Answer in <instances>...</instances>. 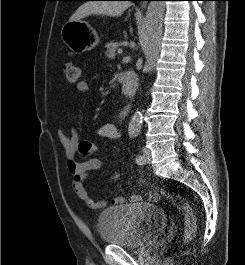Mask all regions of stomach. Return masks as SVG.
<instances>
[{
    "label": "stomach",
    "mask_w": 245,
    "mask_h": 265,
    "mask_svg": "<svg viewBox=\"0 0 245 265\" xmlns=\"http://www.w3.org/2000/svg\"><path fill=\"white\" fill-rule=\"evenodd\" d=\"M61 37L65 45L75 54H81L95 48L100 39L88 22L68 21L62 26Z\"/></svg>",
    "instance_id": "stomach-1"
}]
</instances>
